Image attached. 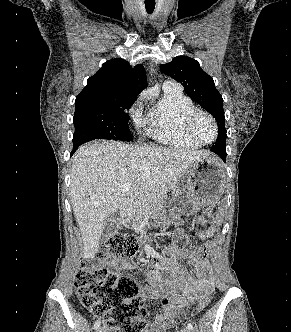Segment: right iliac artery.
<instances>
[{
	"instance_id": "1",
	"label": "right iliac artery",
	"mask_w": 291,
	"mask_h": 332,
	"mask_svg": "<svg viewBox=\"0 0 291 332\" xmlns=\"http://www.w3.org/2000/svg\"><path fill=\"white\" fill-rule=\"evenodd\" d=\"M99 326H100V321L97 320V321L94 323L93 328H94L95 330H97V329L99 328Z\"/></svg>"
}]
</instances>
